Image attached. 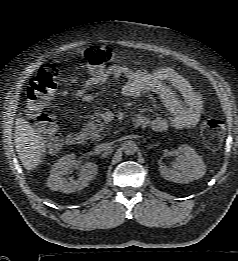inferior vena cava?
<instances>
[{"mask_svg":"<svg viewBox=\"0 0 238 261\" xmlns=\"http://www.w3.org/2000/svg\"><path fill=\"white\" fill-rule=\"evenodd\" d=\"M109 148H110L109 143H103V144L97 145L95 150H96V152L100 153V152L108 150Z\"/></svg>","mask_w":238,"mask_h":261,"instance_id":"obj_1","label":"inferior vena cava"}]
</instances>
